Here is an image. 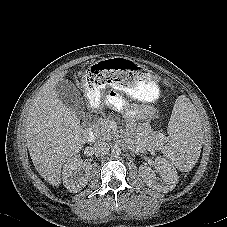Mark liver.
Returning <instances> with one entry per match:
<instances>
[{"mask_svg": "<svg viewBox=\"0 0 227 227\" xmlns=\"http://www.w3.org/2000/svg\"><path fill=\"white\" fill-rule=\"evenodd\" d=\"M63 71L51 77L40 89L26 119V140L32 162L50 185L61 184V169L86 143L80 120L58 97L56 84Z\"/></svg>", "mask_w": 227, "mask_h": 227, "instance_id": "liver-1", "label": "liver"}]
</instances>
